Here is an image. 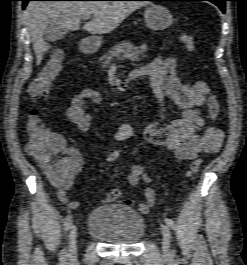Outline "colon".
Returning <instances> with one entry per match:
<instances>
[{
  "instance_id": "colon-1",
  "label": "colon",
  "mask_w": 247,
  "mask_h": 265,
  "mask_svg": "<svg viewBox=\"0 0 247 265\" xmlns=\"http://www.w3.org/2000/svg\"><path fill=\"white\" fill-rule=\"evenodd\" d=\"M179 42L187 50L194 49V37L191 34L182 33L178 37ZM64 56L62 51H54L38 76L29 86V94L35 102L45 99L53 79L63 67ZM29 141L26 150L30 156L46 171L48 177L54 180L66 178L70 171V160L64 154V142L59 134L51 132L41 118L40 110L34 108L30 111L27 121ZM118 150L108 153L106 161L114 164L119 159ZM202 164L201 159L192 161L189 168L190 175L196 174Z\"/></svg>"
}]
</instances>
